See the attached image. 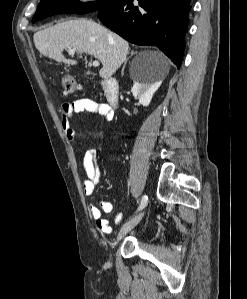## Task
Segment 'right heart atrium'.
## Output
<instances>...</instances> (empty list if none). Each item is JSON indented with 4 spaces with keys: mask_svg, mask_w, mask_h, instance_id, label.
<instances>
[{
    "mask_svg": "<svg viewBox=\"0 0 247 299\" xmlns=\"http://www.w3.org/2000/svg\"><path fill=\"white\" fill-rule=\"evenodd\" d=\"M80 4H88L92 2L93 0H77Z\"/></svg>",
    "mask_w": 247,
    "mask_h": 299,
    "instance_id": "d8ad5b80",
    "label": "right heart atrium"
}]
</instances>
